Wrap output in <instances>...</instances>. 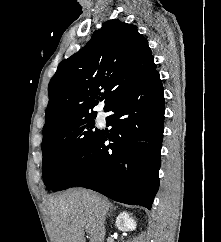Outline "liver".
Here are the masks:
<instances>
[{"instance_id": "obj_1", "label": "liver", "mask_w": 221, "mask_h": 242, "mask_svg": "<svg viewBox=\"0 0 221 242\" xmlns=\"http://www.w3.org/2000/svg\"><path fill=\"white\" fill-rule=\"evenodd\" d=\"M112 204L106 198L84 189H69L50 198L49 235L53 242H103L105 218Z\"/></svg>"}]
</instances>
